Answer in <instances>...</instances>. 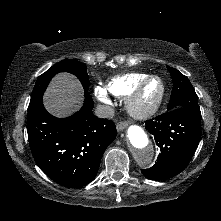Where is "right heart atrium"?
I'll return each instance as SVG.
<instances>
[{
	"mask_svg": "<svg viewBox=\"0 0 221 221\" xmlns=\"http://www.w3.org/2000/svg\"><path fill=\"white\" fill-rule=\"evenodd\" d=\"M95 95L97 96L98 99H100L101 101H106V92L103 88L97 86L94 90Z\"/></svg>",
	"mask_w": 221,
	"mask_h": 221,
	"instance_id": "1",
	"label": "right heart atrium"
}]
</instances>
